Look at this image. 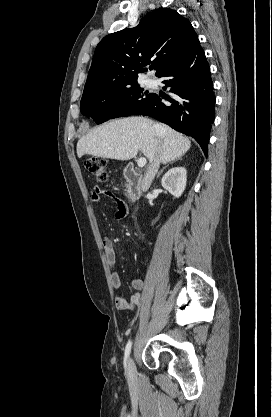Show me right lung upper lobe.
<instances>
[{"label":"right lung upper lobe","instance_id":"right-lung-upper-lobe-1","mask_svg":"<svg viewBox=\"0 0 272 417\" xmlns=\"http://www.w3.org/2000/svg\"><path fill=\"white\" fill-rule=\"evenodd\" d=\"M199 43L191 23L177 11L156 10L135 28L107 35L97 45L83 94L107 93L134 86L152 64L158 77Z\"/></svg>","mask_w":272,"mask_h":417}]
</instances>
